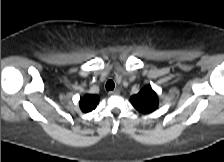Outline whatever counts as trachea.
I'll list each match as a JSON object with an SVG mask.
<instances>
[{
    "label": "trachea",
    "instance_id": "1",
    "mask_svg": "<svg viewBox=\"0 0 224 162\" xmlns=\"http://www.w3.org/2000/svg\"><path fill=\"white\" fill-rule=\"evenodd\" d=\"M114 87H115L114 82L112 80H108L106 83V90L107 91L113 90Z\"/></svg>",
    "mask_w": 224,
    "mask_h": 162
}]
</instances>
